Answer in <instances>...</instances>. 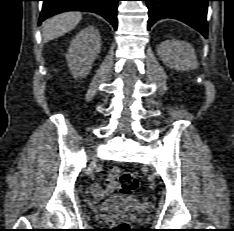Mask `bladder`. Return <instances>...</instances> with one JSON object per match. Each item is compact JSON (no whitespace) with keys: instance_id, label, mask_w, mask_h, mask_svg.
Returning a JSON list of instances; mask_svg holds the SVG:
<instances>
[{"instance_id":"31cf9c89","label":"bladder","mask_w":234,"mask_h":231,"mask_svg":"<svg viewBox=\"0 0 234 231\" xmlns=\"http://www.w3.org/2000/svg\"><path fill=\"white\" fill-rule=\"evenodd\" d=\"M146 207L143 202L138 199L129 198L125 196H115L100 204L98 211L102 213H110L115 211L126 212H145Z\"/></svg>"}]
</instances>
